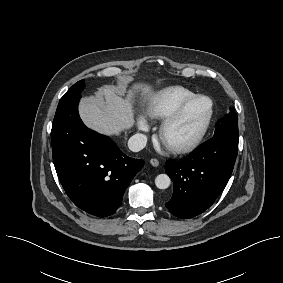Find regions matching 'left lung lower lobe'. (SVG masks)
I'll return each mask as SVG.
<instances>
[{"mask_svg": "<svg viewBox=\"0 0 283 283\" xmlns=\"http://www.w3.org/2000/svg\"><path fill=\"white\" fill-rule=\"evenodd\" d=\"M238 151L227 141L211 138L189 158L165 164L174 189L166 203L179 218H192L209 208L227 184Z\"/></svg>", "mask_w": 283, "mask_h": 283, "instance_id": "obj_1", "label": "left lung lower lobe"}]
</instances>
